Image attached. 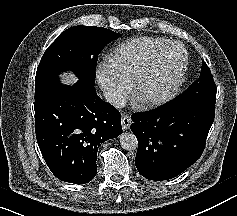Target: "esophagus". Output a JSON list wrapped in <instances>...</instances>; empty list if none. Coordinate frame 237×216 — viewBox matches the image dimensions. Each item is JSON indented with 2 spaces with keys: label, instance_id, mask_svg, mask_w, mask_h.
<instances>
[{
  "label": "esophagus",
  "instance_id": "1",
  "mask_svg": "<svg viewBox=\"0 0 237 216\" xmlns=\"http://www.w3.org/2000/svg\"><path fill=\"white\" fill-rule=\"evenodd\" d=\"M131 125V118L128 114L122 115V129L123 131H126L130 128Z\"/></svg>",
  "mask_w": 237,
  "mask_h": 216
}]
</instances>
